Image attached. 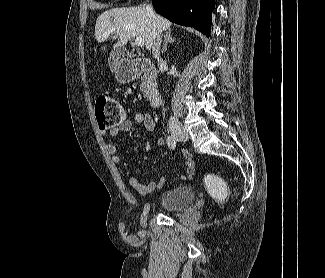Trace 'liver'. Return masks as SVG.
<instances>
[{"label": "liver", "mask_w": 325, "mask_h": 278, "mask_svg": "<svg viewBox=\"0 0 325 278\" xmlns=\"http://www.w3.org/2000/svg\"><path fill=\"white\" fill-rule=\"evenodd\" d=\"M170 26L168 19L156 14L151 16L144 6L113 8L98 16L94 36L101 43L115 34L120 40L114 46L124 45L132 38H142L150 51L157 32Z\"/></svg>", "instance_id": "obj_1"}]
</instances>
